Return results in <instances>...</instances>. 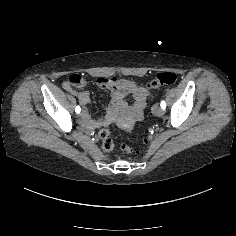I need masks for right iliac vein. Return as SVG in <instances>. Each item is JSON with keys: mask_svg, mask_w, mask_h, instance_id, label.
<instances>
[{"mask_svg": "<svg viewBox=\"0 0 236 236\" xmlns=\"http://www.w3.org/2000/svg\"><path fill=\"white\" fill-rule=\"evenodd\" d=\"M86 114L87 113H86L85 109H83L82 112H81V116H85Z\"/></svg>", "mask_w": 236, "mask_h": 236, "instance_id": "obj_1", "label": "right iliac vein"}]
</instances>
